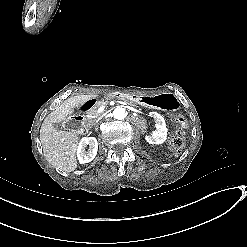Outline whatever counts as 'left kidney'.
Listing matches in <instances>:
<instances>
[{
    "mask_svg": "<svg viewBox=\"0 0 247 247\" xmlns=\"http://www.w3.org/2000/svg\"><path fill=\"white\" fill-rule=\"evenodd\" d=\"M151 116L155 117L156 120V130L150 136H146L145 139L149 144H162L167 138V127L164 118L156 113L151 112Z\"/></svg>",
    "mask_w": 247,
    "mask_h": 247,
    "instance_id": "obj_1",
    "label": "left kidney"
}]
</instances>
